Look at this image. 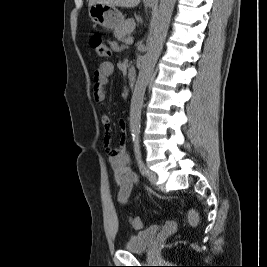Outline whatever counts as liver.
<instances>
[{"label":"liver","mask_w":267,"mask_h":267,"mask_svg":"<svg viewBox=\"0 0 267 267\" xmlns=\"http://www.w3.org/2000/svg\"><path fill=\"white\" fill-rule=\"evenodd\" d=\"M141 0H89V7L94 4H105L122 8H134L139 5Z\"/></svg>","instance_id":"6515ba94"}]
</instances>
